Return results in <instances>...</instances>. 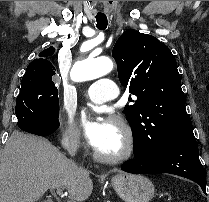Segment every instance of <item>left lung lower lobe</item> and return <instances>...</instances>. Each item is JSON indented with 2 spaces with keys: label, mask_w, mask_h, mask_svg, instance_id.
I'll use <instances>...</instances> for the list:
<instances>
[{
  "label": "left lung lower lobe",
  "mask_w": 209,
  "mask_h": 202,
  "mask_svg": "<svg viewBox=\"0 0 209 202\" xmlns=\"http://www.w3.org/2000/svg\"><path fill=\"white\" fill-rule=\"evenodd\" d=\"M135 159L126 162L122 170L128 173H170L198 183L206 194V176L199 160L198 146L193 132L168 141L161 149L151 151L134 145Z\"/></svg>",
  "instance_id": "obj_1"
}]
</instances>
